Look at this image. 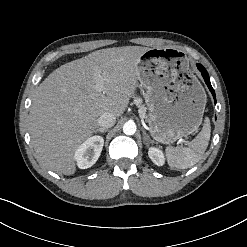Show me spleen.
Listing matches in <instances>:
<instances>
[{
  "label": "spleen",
  "mask_w": 247,
  "mask_h": 247,
  "mask_svg": "<svg viewBox=\"0 0 247 247\" xmlns=\"http://www.w3.org/2000/svg\"><path fill=\"white\" fill-rule=\"evenodd\" d=\"M211 127L206 118L202 131L188 144V147H167L168 164L173 169H186L201 160L209 144Z\"/></svg>",
  "instance_id": "1"
}]
</instances>
